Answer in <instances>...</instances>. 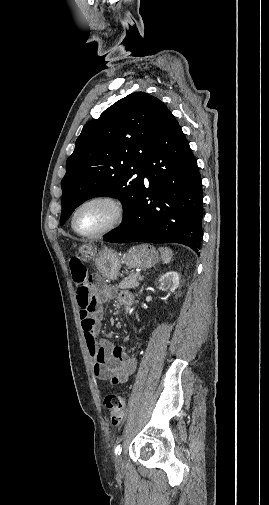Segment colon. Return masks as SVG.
I'll use <instances>...</instances> for the list:
<instances>
[{
  "label": "colon",
  "mask_w": 269,
  "mask_h": 505,
  "mask_svg": "<svg viewBox=\"0 0 269 505\" xmlns=\"http://www.w3.org/2000/svg\"><path fill=\"white\" fill-rule=\"evenodd\" d=\"M94 253V248L89 245H81L77 249V253L72 259H82L83 262L89 260ZM70 260V261H71ZM85 268V265L84 267ZM86 269V268H85ZM73 273V272H72ZM74 277V273H73ZM81 301V300H79ZM116 384L115 381L112 382ZM105 407L109 413L111 422L113 425H120L126 415V401L125 399L117 394L111 393L104 398Z\"/></svg>",
  "instance_id": "5ec220e1"
}]
</instances>
